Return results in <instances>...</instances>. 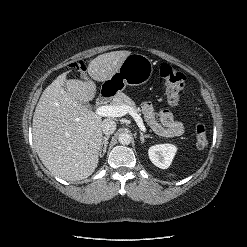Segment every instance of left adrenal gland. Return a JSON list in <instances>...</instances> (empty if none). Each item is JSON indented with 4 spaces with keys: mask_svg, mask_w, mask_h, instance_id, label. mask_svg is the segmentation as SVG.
Segmentation results:
<instances>
[{
    "mask_svg": "<svg viewBox=\"0 0 247 247\" xmlns=\"http://www.w3.org/2000/svg\"><path fill=\"white\" fill-rule=\"evenodd\" d=\"M145 138H149L148 135H144L141 131H140V140L141 143L144 144Z\"/></svg>",
    "mask_w": 247,
    "mask_h": 247,
    "instance_id": "left-adrenal-gland-1",
    "label": "left adrenal gland"
}]
</instances>
